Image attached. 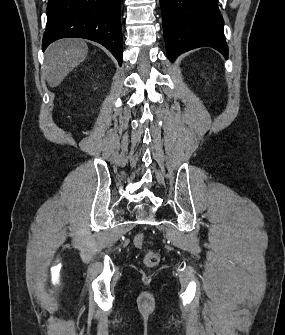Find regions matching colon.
I'll use <instances>...</instances> for the list:
<instances>
[{
    "label": "colon",
    "mask_w": 285,
    "mask_h": 335,
    "mask_svg": "<svg viewBox=\"0 0 285 335\" xmlns=\"http://www.w3.org/2000/svg\"><path fill=\"white\" fill-rule=\"evenodd\" d=\"M145 241V235L143 233L136 234L133 239L134 245L139 249L144 247ZM159 261V254L155 251L148 250L144 255V264L147 267H154L159 263Z\"/></svg>",
    "instance_id": "obj_1"
}]
</instances>
